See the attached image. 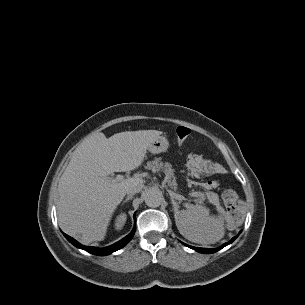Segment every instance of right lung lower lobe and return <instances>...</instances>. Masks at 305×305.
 I'll return each mask as SVG.
<instances>
[{
	"instance_id": "1",
	"label": "right lung lower lobe",
	"mask_w": 305,
	"mask_h": 305,
	"mask_svg": "<svg viewBox=\"0 0 305 305\" xmlns=\"http://www.w3.org/2000/svg\"><path fill=\"white\" fill-rule=\"evenodd\" d=\"M135 230H136V218H135V225H134V228L131 231V233H129L126 237H124L119 242H117L111 246L105 247V248L86 247V246H83L80 243H78L75 239L68 236L67 234H65V233H63V234L66 237V239L70 243H72L74 246H76L77 248L83 249L94 255L105 256V255H109V254L123 248L132 239V237L135 233Z\"/></svg>"
}]
</instances>
